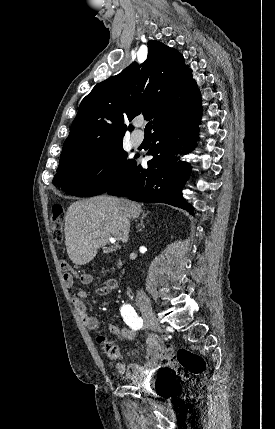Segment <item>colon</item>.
Returning a JSON list of instances; mask_svg holds the SVG:
<instances>
[{
  "label": "colon",
  "instance_id": "1",
  "mask_svg": "<svg viewBox=\"0 0 275 429\" xmlns=\"http://www.w3.org/2000/svg\"><path fill=\"white\" fill-rule=\"evenodd\" d=\"M63 230V208L61 205L55 204L52 207L51 214V236L56 243L62 242ZM62 268L65 272L70 270L65 262H62ZM100 341L104 343L106 353L111 359L117 360L120 357V352L114 344L105 341L104 338H101ZM160 364L163 368H172L175 365H179L185 371L186 376L188 374H201L206 369L205 360L200 355L186 348L174 351L169 346L161 350Z\"/></svg>",
  "mask_w": 275,
  "mask_h": 429
}]
</instances>
